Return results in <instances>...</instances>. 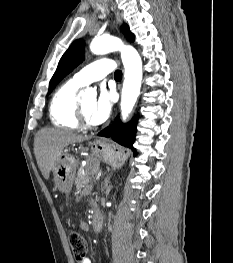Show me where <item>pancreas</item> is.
<instances>
[{
	"label": "pancreas",
	"instance_id": "1",
	"mask_svg": "<svg viewBox=\"0 0 233 263\" xmlns=\"http://www.w3.org/2000/svg\"><path fill=\"white\" fill-rule=\"evenodd\" d=\"M90 180L91 177L88 175L87 171L85 173V176L81 172L78 173L75 179V184L78 190L84 188L83 191L81 192V195L88 193L92 189V185L89 184Z\"/></svg>",
	"mask_w": 233,
	"mask_h": 263
}]
</instances>
